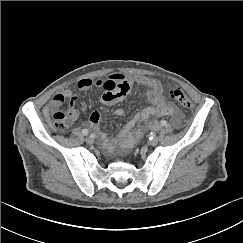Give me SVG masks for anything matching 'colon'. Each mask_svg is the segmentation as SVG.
I'll list each match as a JSON object with an SVG mask.
<instances>
[{"label":"colon","instance_id":"1","mask_svg":"<svg viewBox=\"0 0 243 243\" xmlns=\"http://www.w3.org/2000/svg\"><path fill=\"white\" fill-rule=\"evenodd\" d=\"M167 97L183 108H190L191 102L179 86H170L167 89ZM53 127L58 131H65L69 126L66 113L57 108L51 112Z\"/></svg>","mask_w":243,"mask_h":243}]
</instances>
